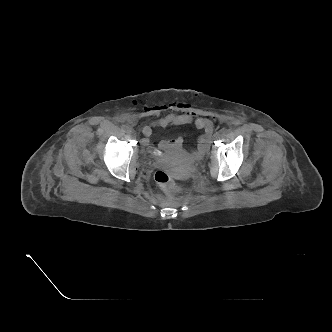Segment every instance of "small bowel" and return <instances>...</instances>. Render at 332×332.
<instances>
[{"label":"small bowel","mask_w":332,"mask_h":332,"mask_svg":"<svg viewBox=\"0 0 332 332\" xmlns=\"http://www.w3.org/2000/svg\"><path fill=\"white\" fill-rule=\"evenodd\" d=\"M168 112L163 117H159L162 113ZM146 116L157 117L151 122L144 126L143 134L144 138L142 139V144L149 147V150L152 153L156 151L150 146L151 136L153 133L154 127L167 128L171 126H180L192 124L197 129L202 131L201 136L199 137L197 149L199 152H204L210 142L211 136L214 131L213 121L204 116H198L190 110L188 105L184 103H169L163 105H154L146 109ZM183 143L182 137L178 136L172 140H162L158 143L160 150H166L171 147H179Z\"/></svg>","instance_id":"1"}]
</instances>
